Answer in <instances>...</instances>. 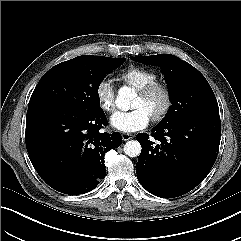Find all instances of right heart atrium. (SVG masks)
<instances>
[{"instance_id": "right-heart-atrium-1", "label": "right heart atrium", "mask_w": 241, "mask_h": 241, "mask_svg": "<svg viewBox=\"0 0 241 241\" xmlns=\"http://www.w3.org/2000/svg\"><path fill=\"white\" fill-rule=\"evenodd\" d=\"M95 97L103 111L112 113L115 110V91L109 78H103L98 82L95 88Z\"/></svg>"}]
</instances>
